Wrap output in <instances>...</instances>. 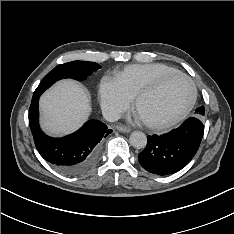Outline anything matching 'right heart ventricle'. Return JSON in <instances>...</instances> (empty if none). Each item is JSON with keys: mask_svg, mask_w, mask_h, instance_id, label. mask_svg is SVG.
I'll return each mask as SVG.
<instances>
[{"mask_svg": "<svg viewBox=\"0 0 234 234\" xmlns=\"http://www.w3.org/2000/svg\"><path fill=\"white\" fill-rule=\"evenodd\" d=\"M172 66L162 63L132 64L116 73V79L124 92L134 98L136 94L164 74L177 72Z\"/></svg>", "mask_w": 234, "mask_h": 234, "instance_id": "right-heart-ventricle-1", "label": "right heart ventricle"}]
</instances>
